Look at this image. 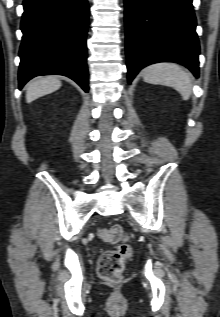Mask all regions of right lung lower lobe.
Instances as JSON below:
<instances>
[{
	"mask_svg": "<svg viewBox=\"0 0 220 317\" xmlns=\"http://www.w3.org/2000/svg\"><path fill=\"white\" fill-rule=\"evenodd\" d=\"M19 89L39 75H64L88 92L87 0H24Z\"/></svg>",
	"mask_w": 220,
	"mask_h": 317,
	"instance_id": "right-lung-lower-lobe-1",
	"label": "right lung lower lobe"
}]
</instances>
